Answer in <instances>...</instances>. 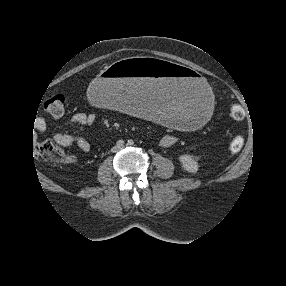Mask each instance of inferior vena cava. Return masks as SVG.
<instances>
[{"mask_svg": "<svg viewBox=\"0 0 286 286\" xmlns=\"http://www.w3.org/2000/svg\"><path fill=\"white\" fill-rule=\"evenodd\" d=\"M116 150H117V148H116V147H114V148L112 149V151H113V152H115Z\"/></svg>", "mask_w": 286, "mask_h": 286, "instance_id": "obj_1", "label": "inferior vena cava"}]
</instances>
